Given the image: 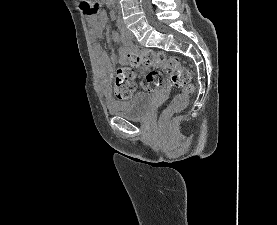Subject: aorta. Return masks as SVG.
I'll list each match as a JSON object with an SVG mask.
<instances>
[{
	"mask_svg": "<svg viewBox=\"0 0 277 225\" xmlns=\"http://www.w3.org/2000/svg\"><path fill=\"white\" fill-rule=\"evenodd\" d=\"M110 1V3L114 6L115 5V3H116V0H109Z\"/></svg>",
	"mask_w": 277,
	"mask_h": 225,
	"instance_id": "1",
	"label": "aorta"
}]
</instances>
